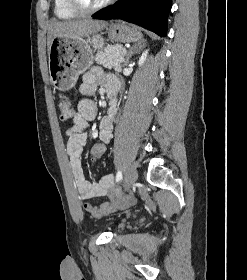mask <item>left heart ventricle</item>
I'll return each mask as SVG.
<instances>
[{"label":"left heart ventricle","instance_id":"left-heart-ventricle-1","mask_svg":"<svg viewBox=\"0 0 247 280\" xmlns=\"http://www.w3.org/2000/svg\"><path fill=\"white\" fill-rule=\"evenodd\" d=\"M80 1L88 7H93V6H96L100 3H102L105 0H80Z\"/></svg>","mask_w":247,"mask_h":280}]
</instances>
